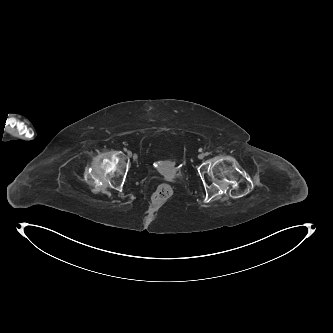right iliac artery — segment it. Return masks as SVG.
<instances>
[{
  "label": "right iliac artery",
  "instance_id": "82829eb1",
  "mask_svg": "<svg viewBox=\"0 0 333 333\" xmlns=\"http://www.w3.org/2000/svg\"><path fill=\"white\" fill-rule=\"evenodd\" d=\"M124 151L126 152V151H127V148H124Z\"/></svg>",
  "mask_w": 333,
  "mask_h": 333
}]
</instances>
